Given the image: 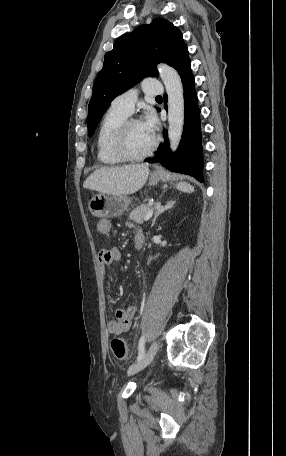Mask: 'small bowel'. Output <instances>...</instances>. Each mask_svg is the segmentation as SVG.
<instances>
[{"instance_id": "c3829d8e", "label": "small bowel", "mask_w": 286, "mask_h": 456, "mask_svg": "<svg viewBox=\"0 0 286 456\" xmlns=\"http://www.w3.org/2000/svg\"><path fill=\"white\" fill-rule=\"evenodd\" d=\"M97 228L99 233L108 235L111 232L112 223L109 219H101L97 224ZM137 235H143V233L138 229L135 236ZM120 259L121 252L116 247L102 248L98 254L101 274L107 289L110 287L107 268L109 265L120 261ZM136 312L137 307L135 305H129L126 308H117L115 310V319L109 320L107 323V331L113 335L127 332L131 328L132 320L135 317Z\"/></svg>"}]
</instances>
